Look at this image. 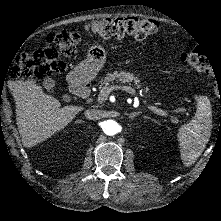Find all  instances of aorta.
<instances>
[{"instance_id": "aorta-1", "label": "aorta", "mask_w": 221, "mask_h": 221, "mask_svg": "<svg viewBox=\"0 0 221 221\" xmlns=\"http://www.w3.org/2000/svg\"><path fill=\"white\" fill-rule=\"evenodd\" d=\"M119 124L114 120H106L103 122L102 129L106 135H115L119 131Z\"/></svg>"}]
</instances>
